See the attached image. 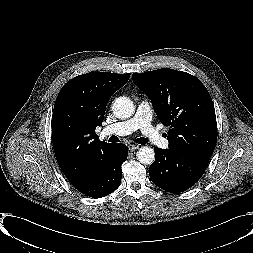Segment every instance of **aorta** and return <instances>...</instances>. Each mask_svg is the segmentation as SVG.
I'll list each match as a JSON object with an SVG mask.
<instances>
[{"label":"aorta","mask_w":253,"mask_h":253,"mask_svg":"<svg viewBox=\"0 0 253 253\" xmlns=\"http://www.w3.org/2000/svg\"><path fill=\"white\" fill-rule=\"evenodd\" d=\"M133 102L125 96L115 99L112 111L113 114L120 119L130 118L134 114ZM137 159L140 163L151 165L155 161V152L152 148L144 146L137 151Z\"/></svg>","instance_id":"obj_1"}]
</instances>
